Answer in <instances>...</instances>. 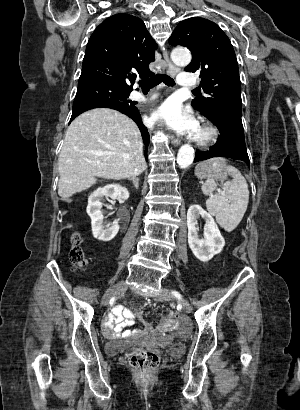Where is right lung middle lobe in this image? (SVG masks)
<instances>
[{"label":"right lung middle lobe","mask_w":300,"mask_h":410,"mask_svg":"<svg viewBox=\"0 0 300 410\" xmlns=\"http://www.w3.org/2000/svg\"><path fill=\"white\" fill-rule=\"evenodd\" d=\"M130 92L101 82H79L73 108L98 101L129 106Z\"/></svg>","instance_id":"right-lung-middle-lobe-1"}]
</instances>
